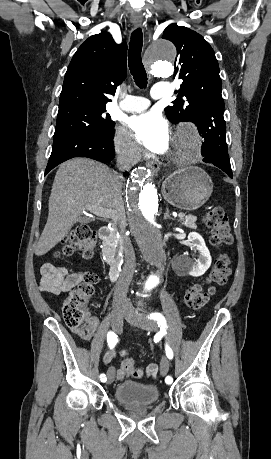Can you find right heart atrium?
<instances>
[{
	"label": "right heart atrium",
	"instance_id": "1",
	"mask_svg": "<svg viewBox=\"0 0 271 459\" xmlns=\"http://www.w3.org/2000/svg\"><path fill=\"white\" fill-rule=\"evenodd\" d=\"M114 146L116 151L130 163H135L142 157V150L123 127H119L115 132Z\"/></svg>",
	"mask_w": 271,
	"mask_h": 459
}]
</instances>
